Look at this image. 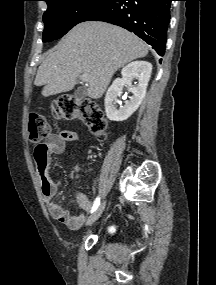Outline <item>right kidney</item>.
Returning a JSON list of instances; mask_svg holds the SVG:
<instances>
[{"mask_svg": "<svg viewBox=\"0 0 216 285\" xmlns=\"http://www.w3.org/2000/svg\"><path fill=\"white\" fill-rule=\"evenodd\" d=\"M152 72V65L146 61H133L123 67L122 78L116 79L109 87L105 96V111L109 120L124 121L128 119L140 106L146 94V89ZM137 80V85L132 83ZM127 86L132 93L123 106L117 108V97L122 94V89Z\"/></svg>", "mask_w": 216, "mask_h": 285, "instance_id": "right-kidney-1", "label": "right kidney"}]
</instances>
